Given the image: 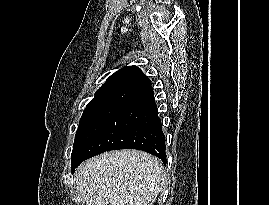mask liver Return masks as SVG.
Here are the masks:
<instances>
[{
	"label": "liver",
	"mask_w": 269,
	"mask_h": 205,
	"mask_svg": "<svg viewBox=\"0 0 269 205\" xmlns=\"http://www.w3.org/2000/svg\"><path fill=\"white\" fill-rule=\"evenodd\" d=\"M164 180L156 157L131 149L91 158L76 174L83 205H152Z\"/></svg>",
	"instance_id": "liver-1"
}]
</instances>
